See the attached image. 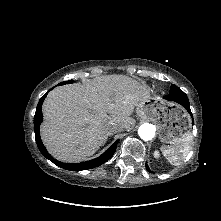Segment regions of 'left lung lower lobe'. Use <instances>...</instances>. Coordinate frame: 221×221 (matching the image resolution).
<instances>
[{"instance_id": "0a47b994", "label": "left lung lower lobe", "mask_w": 221, "mask_h": 221, "mask_svg": "<svg viewBox=\"0 0 221 221\" xmlns=\"http://www.w3.org/2000/svg\"><path fill=\"white\" fill-rule=\"evenodd\" d=\"M164 99L173 101L182 105L190 113L191 117L193 118V115L190 110V103H189L188 97L182 90L176 91V92H170L168 95L164 97ZM146 169L148 170V172H151L147 164H146Z\"/></svg>"}]
</instances>
